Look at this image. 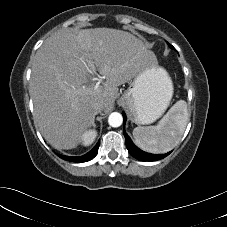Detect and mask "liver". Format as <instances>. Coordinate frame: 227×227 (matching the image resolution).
Listing matches in <instances>:
<instances>
[{
	"label": "liver",
	"mask_w": 227,
	"mask_h": 227,
	"mask_svg": "<svg viewBox=\"0 0 227 227\" xmlns=\"http://www.w3.org/2000/svg\"><path fill=\"white\" fill-rule=\"evenodd\" d=\"M151 64H157L155 54L125 31L94 28L54 33L32 63L29 91L41 134L56 149L77 147L93 126V103L101 100L104 111L111 109L118 86ZM96 70L105 79L102 84L96 82Z\"/></svg>",
	"instance_id": "1"
}]
</instances>
